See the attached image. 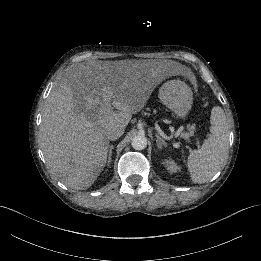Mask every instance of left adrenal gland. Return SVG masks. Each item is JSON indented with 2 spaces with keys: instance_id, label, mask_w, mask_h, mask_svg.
Segmentation results:
<instances>
[{
  "instance_id": "obj_1",
  "label": "left adrenal gland",
  "mask_w": 261,
  "mask_h": 261,
  "mask_svg": "<svg viewBox=\"0 0 261 261\" xmlns=\"http://www.w3.org/2000/svg\"><path fill=\"white\" fill-rule=\"evenodd\" d=\"M156 138V143L159 149H161L163 146L167 147V143L158 134H156Z\"/></svg>"
}]
</instances>
